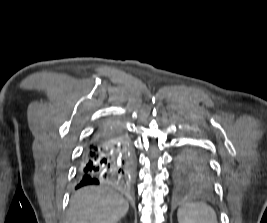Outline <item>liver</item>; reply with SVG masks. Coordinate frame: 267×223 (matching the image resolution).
Masks as SVG:
<instances>
[{
    "label": "liver",
    "mask_w": 267,
    "mask_h": 223,
    "mask_svg": "<svg viewBox=\"0 0 267 223\" xmlns=\"http://www.w3.org/2000/svg\"><path fill=\"white\" fill-rule=\"evenodd\" d=\"M128 209V202L112 190L85 187L73 196L67 223H117Z\"/></svg>",
    "instance_id": "6515ba94"
}]
</instances>
